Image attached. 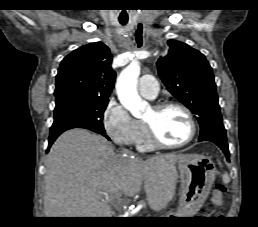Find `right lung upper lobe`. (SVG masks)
Masks as SVG:
<instances>
[{
	"mask_svg": "<svg viewBox=\"0 0 258 227\" xmlns=\"http://www.w3.org/2000/svg\"><path fill=\"white\" fill-rule=\"evenodd\" d=\"M111 62L112 54L101 42L90 43L74 50L60 64L55 96L75 94L108 100L116 75L111 68Z\"/></svg>",
	"mask_w": 258,
	"mask_h": 227,
	"instance_id": "obj_1",
	"label": "right lung upper lobe"
}]
</instances>
